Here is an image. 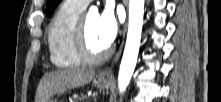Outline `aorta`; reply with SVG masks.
I'll return each mask as SVG.
<instances>
[{
  "instance_id": "aorta-1",
  "label": "aorta",
  "mask_w": 221,
  "mask_h": 102,
  "mask_svg": "<svg viewBox=\"0 0 221 102\" xmlns=\"http://www.w3.org/2000/svg\"><path fill=\"white\" fill-rule=\"evenodd\" d=\"M145 0H129V23L125 49L118 74V88L124 92L133 75L141 42ZM96 8L91 7L90 13Z\"/></svg>"
}]
</instances>
